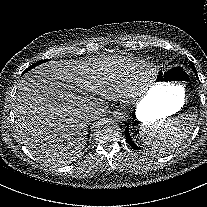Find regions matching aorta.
<instances>
[{
    "mask_svg": "<svg viewBox=\"0 0 207 207\" xmlns=\"http://www.w3.org/2000/svg\"><path fill=\"white\" fill-rule=\"evenodd\" d=\"M113 118L116 121H127L129 119V113L125 107H119L113 111Z\"/></svg>",
    "mask_w": 207,
    "mask_h": 207,
    "instance_id": "obj_1",
    "label": "aorta"
}]
</instances>
